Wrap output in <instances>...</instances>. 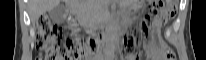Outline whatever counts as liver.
<instances>
[{"instance_id":"1","label":"liver","mask_w":206,"mask_h":60,"mask_svg":"<svg viewBox=\"0 0 206 60\" xmlns=\"http://www.w3.org/2000/svg\"><path fill=\"white\" fill-rule=\"evenodd\" d=\"M66 0H30L29 1V10L31 21L34 23L38 17L44 14L47 11L52 10L58 6L61 2Z\"/></svg>"}]
</instances>
